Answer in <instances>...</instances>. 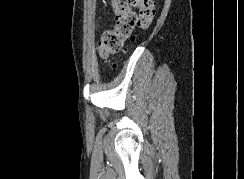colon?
Returning <instances> with one entry per match:
<instances>
[{
    "mask_svg": "<svg viewBox=\"0 0 244 179\" xmlns=\"http://www.w3.org/2000/svg\"><path fill=\"white\" fill-rule=\"evenodd\" d=\"M111 5L116 16V27L104 32L101 37L98 50L102 58L125 52L126 41L134 38L136 29L147 30L155 14L154 4L145 0H115Z\"/></svg>",
    "mask_w": 244,
    "mask_h": 179,
    "instance_id": "5ec220e1",
    "label": "colon"
}]
</instances>
